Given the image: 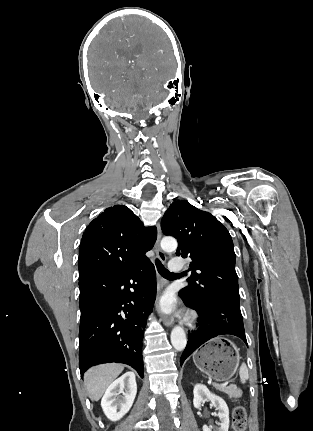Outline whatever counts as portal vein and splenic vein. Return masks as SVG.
Segmentation results:
<instances>
[{
    "instance_id": "obj_1",
    "label": "portal vein and splenic vein",
    "mask_w": 313,
    "mask_h": 431,
    "mask_svg": "<svg viewBox=\"0 0 313 431\" xmlns=\"http://www.w3.org/2000/svg\"><path fill=\"white\" fill-rule=\"evenodd\" d=\"M227 383H224L223 386H226Z\"/></svg>"
}]
</instances>
